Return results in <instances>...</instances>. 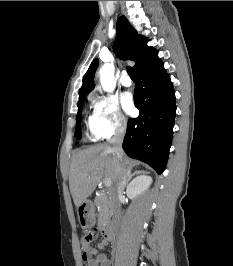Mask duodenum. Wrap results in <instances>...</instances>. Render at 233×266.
<instances>
[{
	"label": "duodenum",
	"instance_id": "obj_1",
	"mask_svg": "<svg viewBox=\"0 0 233 266\" xmlns=\"http://www.w3.org/2000/svg\"><path fill=\"white\" fill-rule=\"evenodd\" d=\"M101 230L105 240H107L108 242L114 240L115 233L110 224H104Z\"/></svg>",
	"mask_w": 233,
	"mask_h": 266
}]
</instances>
